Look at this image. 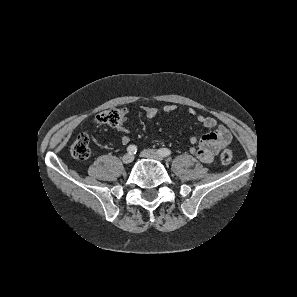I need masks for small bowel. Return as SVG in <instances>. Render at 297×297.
<instances>
[{
  "label": "small bowel",
  "mask_w": 297,
  "mask_h": 297,
  "mask_svg": "<svg viewBox=\"0 0 297 297\" xmlns=\"http://www.w3.org/2000/svg\"><path fill=\"white\" fill-rule=\"evenodd\" d=\"M176 110V106L169 104L163 108L165 113H172ZM122 118L127 114V109L122 108L121 110ZM189 114L196 116L198 122H200L204 127L209 129L200 140L198 146H195L196 140L191 139L192 146L190 147V152L195 154L199 160L205 163H211L218 152L225 146H227L231 140L230 132L218 125L216 119L211 116L197 115L194 109H189ZM159 113V110L155 107H148L145 109V115L147 118L152 119ZM117 129L123 133L121 137V142L123 145H127L130 141L129 130L122 123L117 126Z\"/></svg>",
  "instance_id": "c3829d8e"
}]
</instances>
